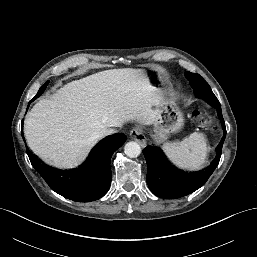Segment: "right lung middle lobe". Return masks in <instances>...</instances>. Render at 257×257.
I'll return each mask as SVG.
<instances>
[{"label": "right lung middle lobe", "instance_id": "dd1d6c3e", "mask_svg": "<svg viewBox=\"0 0 257 257\" xmlns=\"http://www.w3.org/2000/svg\"><path fill=\"white\" fill-rule=\"evenodd\" d=\"M49 81H47L38 91L37 95L33 98H37L38 96H40L42 94V92L45 90L46 86L48 85Z\"/></svg>", "mask_w": 257, "mask_h": 257}]
</instances>
